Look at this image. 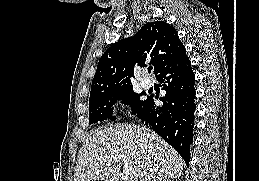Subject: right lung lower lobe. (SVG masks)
<instances>
[{
	"instance_id": "98d812e1",
	"label": "right lung lower lobe",
	"mask_w": 259,
	"mask_h": 181,
	"mask_svg": "<svg viewBox=\"0 0 259 181\" xmlns=\"http://www.w3.org/2000/svg\"><path fill=\"white\" fill-rule=\"evenodd\" d=\"M156 79L166 91L161 107L155 105L153 96L137 112V117L149 125L169 143L185 160H190V145L193 141L195 106V76L186 51L171 61Z\"/></svg>"
}]
</instances>
